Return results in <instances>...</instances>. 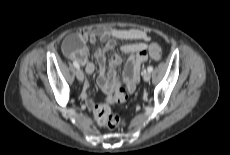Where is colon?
<instances>
[{"label":"colon","instance_id":"1","mask_svg":"<svg viewBox=\"0 0 230 155\" xmlns=\"http://www.w3.org/2000/svg\"><path fill=\"white\" fill-rule=\"evenodd\" d=\"M80 42L75 40L74 46H79ZM149 53L152 59L158 61L162 57V48L158 43H152L149 47ZM94 119L95 121L108 129H115L121 124L118 116L111 113L110 108L107 104H98L94 108Z\"/></svg>","mask_w":230,"mask_h":155}]
</instances>
